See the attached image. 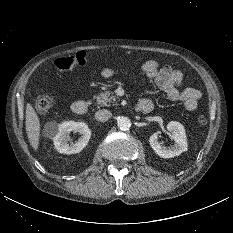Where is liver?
I'll return each instance as SVG.
<instances>
[{
	"label": "liver",
	"instance_id": "1",
	"mask_svg": "<svg viewBox=\"0 0 233 233\" xmlns=\"http://www.w3.org/2000/svg\"><path fill=\"white\" fill-rule=\"evenodd\" d=\"M26 133L34 150L38 149L40 137V121L30 103L26 105Z\"/></svg>",
	"mask_w": 233,
	"mask_h": 233
}]
</instances>
